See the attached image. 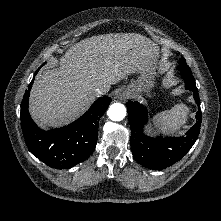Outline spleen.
<instances>
[{
	"label": "spleen",
	"mask_w": 221,
	"mask_h": 221,
	"mask_svg": "<svg viewBox=\"0 0 221 221\" xmlns=\"http://www.w3.org/2000/svg\"><path fill=\"white\" fill-rule=\"evenodd\" d=\"M188 113L189 108L185 104H177L170 110L156 114L153 122L161 132L174 133L186 123Z\"/></svg>",
	"instance_id": "spleen-1"
}]
</instances>
